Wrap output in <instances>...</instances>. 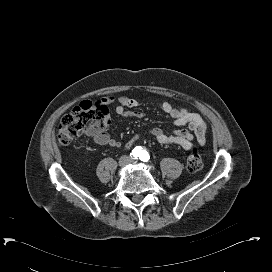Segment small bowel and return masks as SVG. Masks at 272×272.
<instances>
[{"mask_svg":"<svg viewBox=\"0 0 272 272\" xmlns=\"http://www.w3.org/2000/svg\"><path fill=\"white\" fill-rule=\"evenodd\" d=\"M107 101L113 102L115 101V98L113 96H108ZM141 106L142 103L135 99L120 97L118 98L116 113L121 117H136L141 119L145 117V114L140 110H132L134 108H140ZM161 108L169 115L175 125H187L188 128L172 132H167L158 127L150 129L148 132L153 135L159 143L180 146L185 150H191L195 142L199 145L205 144L207 124L201 115L191 112L187 107L174 108L167 100L161 102ZM89 136L100 145L113 148H119L122 145V142L119 139L111 137L105 132L89 133ZM140 137L141 135L139 133L134 134L127 141V147L133 146Z\"/></svg>","mask_w":272,"mask_h":272,"instance_id":"1","label":"small bowel"}]
</instances>
